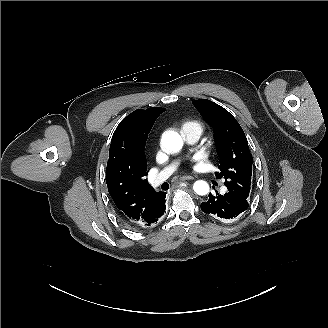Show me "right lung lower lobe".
Segmentation results:
<instances>
[{
    "mask_svg": "<svg viewBox=\"0 0 328 328\" xmlns=\"http://www.w3.org/2000/svg\"><path fill=\"white\" fill-rule=\"evenodd\" d=\"M165 198L166 195L164 194V192H159L158 197L155 200L152 213L147 218L140 221L138 224H130L129 226H131L132 228H149L155 226L160 221L162 215L165 212Z\"/></svg>",
    "mask_w": 328,
    "mask_h": 328,
    "instance_id": "98d812e1",
    "label": "right lung lower lobe"
}]
</instances>
